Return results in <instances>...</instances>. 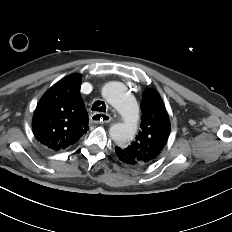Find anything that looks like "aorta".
<instances>
[{"label":"aorta","instance_id":"1","mask_svg":"<svg viewBox=\"0 0 232 232\" xmlns=\"http://www.w3.org/2000/svg\"><path fill=\"white\" fill-rule=\"evenodd\" d=\"M102 95L114 106L123 118L122 123L114 124L109 129L111 139L119 145L128 142L137 131L139 108L134 97L127 92L121 82H109L102 88Z\"/></svg>","mask_w":232,"mask_h":232}]
</instances>
